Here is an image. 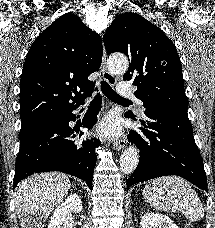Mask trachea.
Listing matches in <instances>:
<instances>
[{"mask_svg": "<svg viewBox=\"0 0 215 228\" xmlns=\"http://www.w3.org/2000/svg\"><path fill=\"white\" fill-rule=\"evenodd\" d=\"M100 83H101V91L110 100L118 103L128 104V105L132 104L130 100H127L126 98H122L120 95L114 92V90H112V88L106 81H101Z\"/></svg>", "mask_w": 215, "mask_h": 228, "instance_id": "1", "label": "trachea"}]
</instances>
